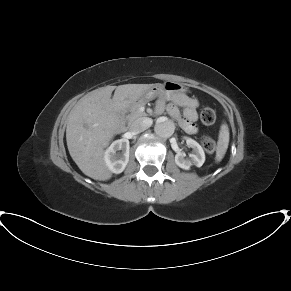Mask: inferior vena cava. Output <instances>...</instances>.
Returning a JSON list of instances; mask_svg holds the SVG:
<instances>
[{
    "instance_id": "obj_1",
    "label": "inferior vena cava",
    "mask_w": 291,
    "mask_h": 291,
    "mask_svg": "<svg viewBox=\"0 0 291 291\" xmlns=\"http://www.w3.org/2000/svg\"><path fill=\"white\" fill-rule=\"evenodd\" d=\"M152 124V119L151 118H138L135 121H133L129 127V131L132 134H138L146 129H148Z\"/></svg>"
}]
</instances>
